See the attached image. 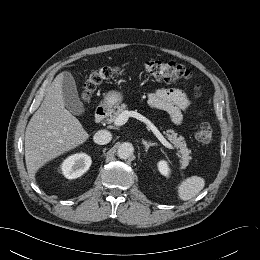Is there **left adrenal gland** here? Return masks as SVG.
<instances>
[{
	"label": "left adrenal gland",
	"mask_w": 260,
	"mask_h": 260,
	"mask_svg": "<svg viewBox=\"0 0 260 260\" xmlns=\"http://www.w3.org/2000/svg\"><path fill=\"white\" fill-rule=\"evenodd\" d=\"M142 143H143V145L145 146V151H146V152L149 150V148H150L151 146L157 145V143L148 142V141H145L144 139L142 140Z\"/></svg>",
	"instance_id": "obj_1"
}]
</instances>
